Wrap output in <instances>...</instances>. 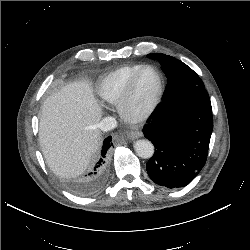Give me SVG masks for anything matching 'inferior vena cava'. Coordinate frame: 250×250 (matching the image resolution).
Listing matches in <instances>:
<instances>
[{"instance_id": "602c4592", "label": "inferior vena cava", "mask_w": 250, "mask_h": 250, "mask_svg": "<svg viewBox=\"0 0 250 250\" xmlns=\"http://www.w3.org/2000/svg\"><path fill=\"white\" fill-rule=\"evenodd\" d=\"M98 127L102 131L107 132L117 127V121L113 117H105L98 124Z\"/></svg>"}]
</instances>
